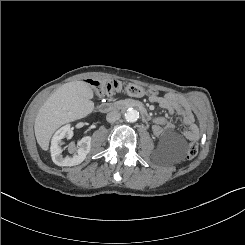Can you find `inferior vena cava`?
Instances as JSON below:
<instances>
[{
  "label": "inferior vena cava",
  "instance_id": "inferior-vena-cava-1",
  "mask_svg": "<svg viewBox=\"0 0 245 245\" xmlns=\"http://www.w3.org/2000/svg\"><path fill=\"white\" fill-rule=\"evenodd\" d=\"M120 117H121V114L117 110H112L109 113H107L106 120L109 123H113V122L119 120Z\"/></svg>",
  "mask_w": 245,
  "mask_h": 245
}]
</instances>
